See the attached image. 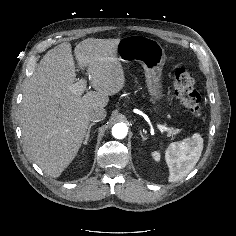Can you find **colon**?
<instances>
[{"instance_id":"colon-1","label":"colon","mask_w":236,"mask_h":236,"mask_svg":"<svg viewBox=\"0 0 236 236\" xmlns=\"http://www.w3.org/2000/svg\"><path fill=\"white\" fill-rule=\"evenodd\" d=\"M174 91L181 105L194 117L201 115V96L190 72L180 67L174 75Z\"/></svg>"}]
</instances>
